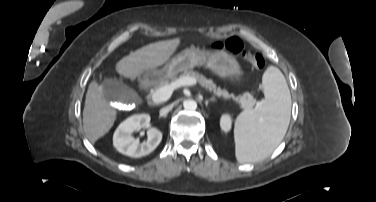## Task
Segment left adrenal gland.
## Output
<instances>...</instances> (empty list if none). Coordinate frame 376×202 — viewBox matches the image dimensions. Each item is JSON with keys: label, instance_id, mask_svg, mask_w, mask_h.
I'll return each mask as SVG.
<instances>
[{"label": "left adrenal gland", "instance_id": "left-adrenal-gland-1", "mask_svg": "<svg viewBox=\"0 0 376 202\" xmlns=\"http://www.w3.org/2000/svg\"><path fill=\"white\" fill-rule=\"evenodd\" d=\"M213 101V99L211 98V99H209V100H206L205 101V106L207 107L208 106V104H209V102H212Z\"/></svg>", "mask_w": 376, "mask_h": 202}]
</instances>
